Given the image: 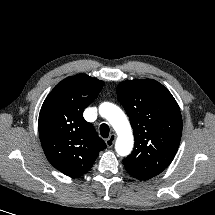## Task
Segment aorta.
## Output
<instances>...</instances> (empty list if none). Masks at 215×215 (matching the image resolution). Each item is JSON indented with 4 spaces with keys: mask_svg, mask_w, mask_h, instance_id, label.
<instances>
[{
    "mask_svg": "<svg viewBox=\"0 0 215 215\" xmlns=\"http://www.w3.org/2000/svg\"><path fill=\"white\" fill-rule=\"evenodd\" d=\"M99 113L108 120L117 133L116 152L121 156L128 155L133 148L134 138L124 112L115 104L104 102L99 106Z\"/></svg>",
    "mask_w": 215,
    "mask_h": 215,
    "instance_id": "obj_1",
    "label": "aorta"
}]
</instances>
